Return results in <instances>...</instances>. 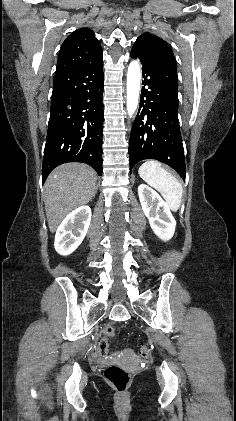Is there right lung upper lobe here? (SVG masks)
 Instances as JSON below:
<instances>
[{"instance_id": "1", "label": "right lung upper lobe", "mask_w": 236, "mask_h": 421, "mask_svg": "<svg viewBox=\"0 0 236 421\" xmlns=\"http://www.w3.org/2000/svg\"><path fill=\"white\" fill-rule=\"evenodd\" d=\"M102 57V48L95 33L88 28H80L63 42L58 55L56 73L95 62Z\"/></svg>"}]
</instances>
